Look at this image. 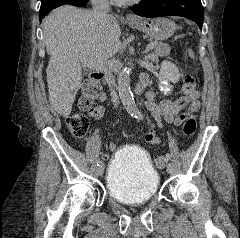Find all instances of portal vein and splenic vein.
I'll return each instance as SVG.
<instances>
[{
  "mask_svg": "<svg viewBox=\"0 0 240 238\" xmlns=\"http://www.w3.org/2000/svg\"><path fill=\"white\" fill-rule=\"evenodd\" d=\"M155 45H156L155 42L149 43L146 47V51L153 49L155 47ZM80 60L84 66H87L89 68H98V69H110L118 63L117 61H108V62H106V61H99V62L87 61L86 59H84L82 57H80Z\"/></svg>",
  "mask_w": 240,
  "mask_h": 238,
  "instance_id": "obj_1",
  "label": "portal vein and splenic vein"
}]
</instances>
